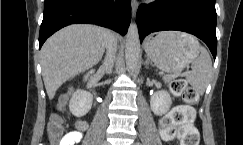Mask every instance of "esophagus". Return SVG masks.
Returning <instances> with one entry per match:
<instances>
[{
  "label": "esophagus",
  "mask_w": 243,
  "mask_h": 145,
  "mask_svg": "<svg viewBox=\"0 0 243 145\" xmlns=\"http://www.w3.org/2000/svg\"><path fill=\"white\" fill-rule=\"evenodd\" d=\"M131 8H132L133 17H135L138 9V2L136 0L131 1Z\"/></svg>",
  "instance_id": "esophagus-1"
}]
</instances>
